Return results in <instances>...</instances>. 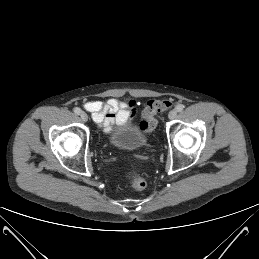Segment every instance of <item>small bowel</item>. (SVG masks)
<instances>
[{"mask_svg": "<svg viewBox=\"0 0 259 259\" xmlns=\"http://www.w3.org/2000/svg\"><path fill=\"white\" fill-rule=\"evenodd\" d=\"M83 107L92 115V119L104 129L110 128L114 123L122 125L133 120L136 113V102H126L111 98L105 102L99 100L87 101Z\"/></svg>", "mask_w": 259, "mask_h": 259, "instance_id": "1", "label": "small bowel"}]
</instances>
